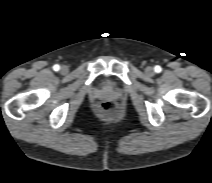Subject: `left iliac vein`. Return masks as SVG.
Listing matches in <instances>:
<instances>
[{
    "mask_svg": "<svg viewBox=\"0 0 212 183\" xmlns=\"http://www.w3.org/2000/svg\"><path fill=\"white\" fill-rule=\"evenodd\" d=\"M145 73L148 75V76H153L154 75V69L152 67H147L145 69Z\"/></svg>",
    "mask_w": 212,
    "mask_h": 183,
    "instance_id": "1",
    "label": "left iliac vein"
}]
</instances>
